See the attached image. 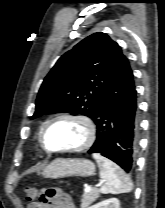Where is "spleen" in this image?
Wrapping results in <instances>:
<instances>
[{
    "label": "spleen",
    "instance_id": "spleen-1",
    "mask_svg": "<svg viewBox=\"0 0 165 208\" xmlns=\"http://www.w3.org/2000/svg\"><path fill=\"white\" fill-rule=\"evenodd\" d=\"M93 158L100 167V177L104 181L103 186L99 189L101 193L120 194L132 190L131 180L117 164L98 153L93 154Z\"/></svg>",
    "mask_w": 165,
    "mask_h": 208
}]
</instances>
